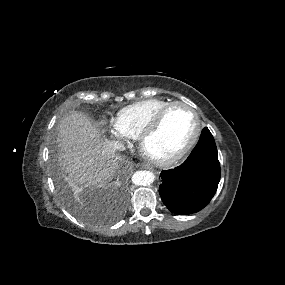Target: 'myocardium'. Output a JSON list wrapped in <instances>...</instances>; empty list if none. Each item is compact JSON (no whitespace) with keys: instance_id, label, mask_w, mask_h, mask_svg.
Instances as JSON below:
<instances>
[{"instance_id":"1","label":"myocardium","mask_w":285,"mask_h":285,"mask_svg":"<svg viewBox=\"0 0 285 285\" xmlns=\"http://www.w3.org/2000/svg\"><path fill=\"white\" fill-rule=\"evenodd\" d=\"M175 107H183L187 109L195 118V130L191 137V139L188 141V143L176 154H174L171 157L165 158V159H158L155 157L150 156L147 154L144 150V145L146 140L153 135L161 126L162 122L164 121L165 117L168 115V113L174 109ZM202 132V121L200 118L199 113L194 109L192 106H190L187 103L184 102H172L167 107H165L163 110H161L143 129V131L139 135V147L140 151L143 154L145 158H147L151 163L154 165H157L159 167H169L177 162H179L181 159H183L197 144Z\"/></svg>"}]
</instances>
